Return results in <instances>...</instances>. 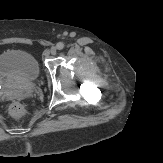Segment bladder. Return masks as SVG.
Returning a JSON list of instances; mask_svg holds the SVG:
<instances>
[{"instance_id": "31cf9c89", "label": "bladder", "mask_w": 163, "mask_h": 163, "mask_svg": "<svg viewBox=\"0 0 163 163\" xmlns=\"http://www.w3.org/2000/svg\"><path fill=\"white\" fill-rule=\"evenodd\" d=\"M39 76L40 65L33 54L23 50H7L0 54V77L32 82Z\"/></svg>"}]
</instances>
